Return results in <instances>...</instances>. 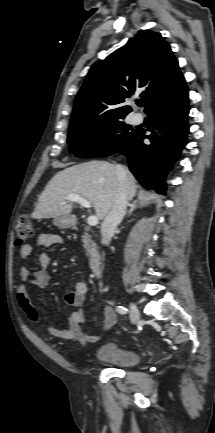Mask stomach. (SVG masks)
Segmentation results:
<instances>
[{"label":"stomach","instance_id":"stomach-1","mask_svg":"<svg viewBox=\"0 0 215 433\" xmlns=\"http://www.w3.org/2000/svg\"><path fill=\"white\" fill-rule=\"evenodd\" d=\"M53 224L59 228H70L75 224V218L72 215L58 216L53 219Z\"/></svg>","mask_w":215,"mask_h":433}]
</instances>
